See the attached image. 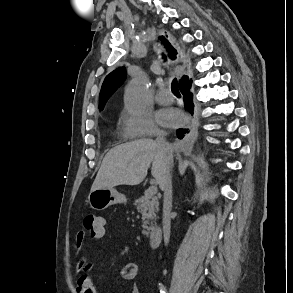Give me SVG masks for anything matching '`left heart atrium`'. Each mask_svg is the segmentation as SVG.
Wrapping results in <instances>:
<instances>
[{
  "label": "left heart atrium",
  "mask_w": 293,
  "mask_h": 293,
  "mask_svg": "<svg viewBox=\"0 0 293 293\" xmlns=\"http://www.w3.org/2000/svg\"><path fill=\"white\" fill-rule=\"evenodd\" d=\"M158 122L165 127H174L182 123V114L173 108H163L157 112Z\"/></svg>",
  "instance_id": "1"
}]
</instances>
